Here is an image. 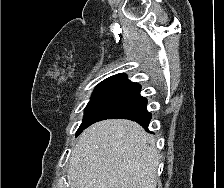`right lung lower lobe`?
<instances>
[{"label": "right lung lower lobe", "instance_id": "obj_1", "mask_svg": "<svg viewBox=\"0 0 224 188\" xmlns=\"http://www.w3.org/2000/svg\"><path fill=\"white\" fill-rule=\"evenodd\" d=\"M146 105L147 99L140 95V85L130 82L95 113L88 126L105 119L121 118L136 121L147 129L152 116Z\"/></svg>", "mask_w": 224, "mask_h": 188}]
</instances>
